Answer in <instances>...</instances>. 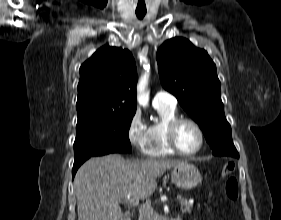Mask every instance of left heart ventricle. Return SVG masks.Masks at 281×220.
<instances>
[{
  "label": "left heart ventricle",
  "mask_w": 281,
  "mask_h": 220,
  "mask_svg": "<svg viewBox=\"0 0 281 220\" xmlns=\"http://www.w3.org/2000/svg\"><path fill=\"white\" fill-rule=\"evenodd\" d=\"M176 138L180 149L185 152L194 151L200 142L196 128L189 123H183L178 127Z\"/></svg>",
  "instance_id": "obj_1"
}]
</instances>
